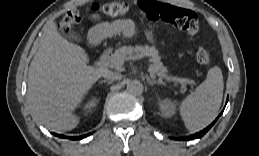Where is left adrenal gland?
Segmentation results:
<instances>
[{
  "instance_id": "1",
  "label": "left adrenal gland",
  "mask_w": 259,
  "mask_h": 156,
  "mask_svg": "<svg viewBox=\"0 0 259 156\" xmlns=\"http://www.w3.org/2000/svg\"><path fill=\"white\" fill-rule=\"evenodd\" d=\"M147 83L151 86H153L154 84H163L165 85V83L159 79V80H154V79H151L150 77H147Z\"/></svg>"
}]
</instances>
